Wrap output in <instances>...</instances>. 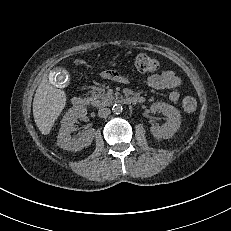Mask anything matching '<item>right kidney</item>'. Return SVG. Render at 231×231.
Returning a JSON list of instances; mask_svg holds the SVG:
<instances>
[{
    "label": "right kidney",
    "instance_id": "ca27d5eb",
    "mask_svg": "<svg viewBox=\"0 0 231 231\" xmlns=\"http://www.w3.org/2000/svg\"><path fill=\"white\" fill-rule=\"evenodd\" d=\"M86 110L72 107L70 108L62 119L61 128L57 137V145L69 151H80L85 147L91 145L94 139V129L84 131L78 138H72L71 132L75 130L74 124L80 117H85Z\"/></svg>",
    "mask_w": 231,
    "mask_h": 231
}]
</instances>
